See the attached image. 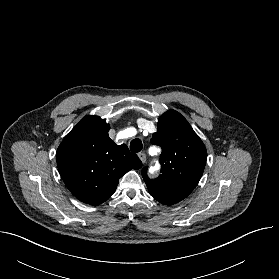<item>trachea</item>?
Listing matches in <instances>:
<instances>
[{"instance_id": "1", "label": "trachea", "mask_w": 279, "mask_h": 279, "mask_svg": "<svg viewBox=\"0 0 279 279\" xmlns=\"http://www.w3.org/2000/svg\"><path fill=\"white\" fill-rule=\"evenodd\" d=\"M143 144L140 139H134L130 143V150L132 152H140L142 150Z\"/></svg>"}]
</instances>
